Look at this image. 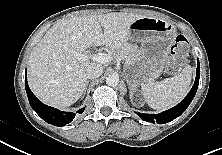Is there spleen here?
Returning a JSON list of instances; mask_svg holds the SVG:
<instances>
[{"mask_svg":"<svg viewBox=\"0 0 222 155\" xmlns=\"http://www.w3.org/2000/svg\"><path fill=\"white\" fill-rule=\"evenodd\" d=\"M192 79V68L187 65L178 75L160 82L142 85V93L148 105L157 110L177 105L187 95Z\"/></svg>","mask_w":222,"mask_h":155,"instance_id":"1","label":"spleen"}]
</instances>
